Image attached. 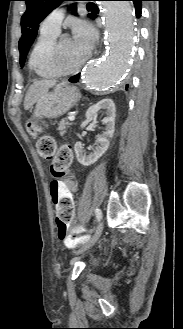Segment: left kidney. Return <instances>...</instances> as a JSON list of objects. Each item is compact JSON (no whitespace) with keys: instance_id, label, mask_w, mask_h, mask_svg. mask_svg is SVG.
I'll return each instance as SVG.
<instances>
[{"instance_id":"obj_1","label":"left kidney","mask_w":183,"mask_h":329,"mask_svg":"<svg viewBox=\"0 0 183 329\" xmlns=\"http://www.w3.org/2000/svg\"><path fill=\"white\" fill-rule=\"evenodd\" d=\"M101 109L105 110L107 114V117L103 120L106 127L105 131L97 136L93 153L87 155L83 150L81 142H77L74 146L77 160L84 166H90L95 163L106 152L109 147V141L114 134L116 108L113 100L109 98L99 101L87 110L86 119L82 122L81 128H84L88 122L92 121Z\"/></svg>"}]
</instances>
